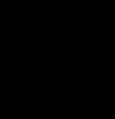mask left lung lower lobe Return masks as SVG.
Segmentation results:
<instances>
[{
	"mask_svg": "<svg viewBox=\"0 0 115 119\" xmlns=\"http://www.w3.org/2000/svg\"><path fill=\"white\" fill-rule=\"evenodd\" d=\"M77 93L85 100L108 104L115 101V76H105L97 81L86 78L77 86Z\"/></svg>",
	"mask_w": 115,
	"mask_h": 119,
	"instance_id": "obj_1",
	"label": "left lung lower lobe"
}]
</instances>
